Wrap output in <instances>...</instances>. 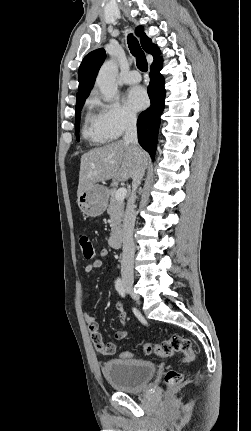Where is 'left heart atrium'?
Instances as JSON below:
<instances>
[{"instance_id":"39dd6f15","label":"left heart atrium","mask_w":251,"mask_h":431,"mask_svg":"<svg viewBox=\"0 0 251 431\" xmlns=\"http://www.w3.org/2000/svg\"><path fill=\"white\" fill-rule=\"evenodd\" d=\"M125 102L132 110H142L148 103L147 94L140 86L132 87L126 93Z\"/></svg>"}]
</instances>
